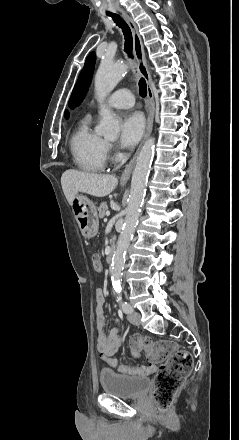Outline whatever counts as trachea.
<instances>
[{
    "instance_id": "3493384b",
    "label": "trachea",
    "mask_w": 239,
    "mask_h": 440,
    "mask_svg": "<svg viewBox=\"0 0 239 440\" xmlns=\"http://www.w3.org/2000/svg\"><path fill=\"white\" fill-rule=\"evenodd\" d=\"M107 15L112 17L114 22L122 29L125 38L124 50L132 57L133 39L130 27L119 15L115 13H108ZM139 94L141 97H146L147 95V84L144 78H141L139 81Z\"/></svg>"
}]
</instances>
